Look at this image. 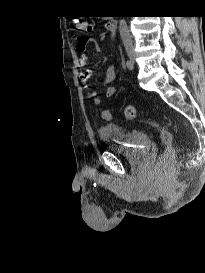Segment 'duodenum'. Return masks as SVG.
I'll return each mask as SVG.
<instances>
[{
	"instance_id": "obj_1",
	"label": "duodenum",
	"mask_w": 205,
	"mask_h": 273,
	"mask_svg": "<svg viewBox=\"0 0 205 273\" xmlns=\"http://www.w3.org/2000/svg\"><path fill=\"white\" fill-rule=\"evenodd\" d=\"M115 26H116V20L113 18H107L105 22L106 30L109 32H113L115 30Z\"/></svg>"
}]
</instances>
